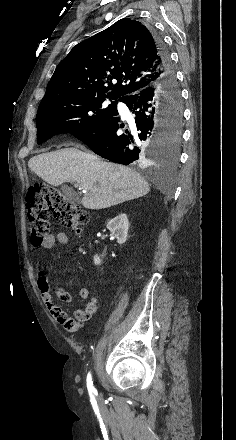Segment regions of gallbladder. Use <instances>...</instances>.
Segmentation results:
<instances>
[{
    "mask_svg": "<svg viewBox=\"0 0 236 440\" xmlns=\"http://www.w3.org/2000/svg\"><path fill=\"white\" fill-rule=\"evenodd\" d=\"M62 192L64 193V195L69 198L72 201L78 202L79 199L77 197V195L73 192V190L68 187V186H62L61 187Z\"/></svg>",
    "mask_w": 236,
    "mask_h": 440,
    "instance_id": "1",
    "label": "gallbladder"
}]
</instances>
